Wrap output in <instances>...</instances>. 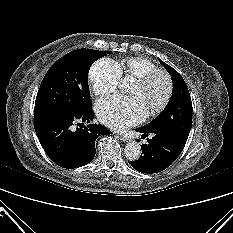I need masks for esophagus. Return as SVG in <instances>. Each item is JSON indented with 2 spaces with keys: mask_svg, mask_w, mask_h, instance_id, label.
I'll return each mask as SVG.
<instances>
[{
  "mask_svg": "<svg viewBox=\"0 0 233 233\" xmlns=\"http://www.w3.org/2000/svg\"><path fill=\"white\" fill-rule=\"evenodd\" d=\"M120 136V140L123 141V142H128L130 140L129 137L125 136V135H119Z\"/></svg>",
  "mask_w": 233,
  "mask_h": 233,
  "instance_id": "1",
  "label": "esophagus"
}]
</instances>
